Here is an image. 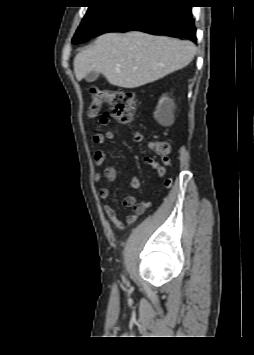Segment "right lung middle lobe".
Wrapping results in <instances>:
<instances>
[{
  "mask_svg": "<svg viewBox=\"0 0 254 355\" xmlns=\"http://www.w3.org/2000/svg\"><path fill=\"white\" fill-rule=\"evenodd\" d=\"M122 3L115 1L96 2L90 6L78 27L73 40H89L103 25L110 14Z\"/></svg>",
  "mask_w": 254,
  "mask_h": 355,
  "instance_id": "right-lung-middle-lobe-1",
  "label": "right lung middle lobe"
}]
</instances>
